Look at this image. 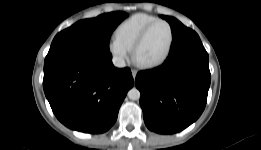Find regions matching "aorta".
<instances>
[{"label": "aorta", "mask_w": 261, "mask_h": 150, "mask_svg": "<svg viewBox=\"0 0 261 150\" xmlns=\"http://www.w3.org/2000/svg\"><path fill=\"white\" fill-rule=\"evenodd\" d=\"M127 96L131 100H139L140 99V91L137 88H132L128 91Z\"/></svg>", "instance_id": "762f6f07"}]
</instances>
